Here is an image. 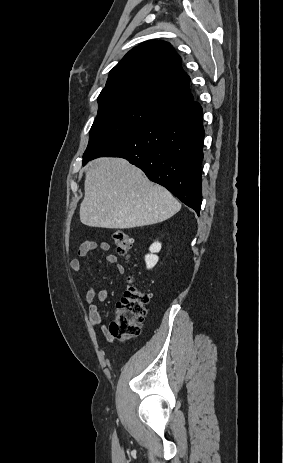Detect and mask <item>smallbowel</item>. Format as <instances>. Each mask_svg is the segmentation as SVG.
Segmentation results:
<instances>
[{
  "label": "small bowel",
  "mask_w": 283,
  "mask_h": 463,
  "mask_svg": "<svg viewBox=\"0 0 283 463\" xmlns=\"http://www.w3.org/2000/svg\"><path fill=\"white\" fill-rule=\"evenodd\" d=\"M110 244L106 241L96 242L93 240L85 241L78 249L77 256L71 261V268L79 272L82 268L83 261L88 256L91 251L100 249L104 252L110 251ZM106 261L114 265L118 274L124 273V267L122 264L118 263V258L113 253H108L106 256ZM87 290L85 294L86 301L89 305V321L93 327L97 325H102L103 333L107 341L112 342L114 337L111 335L107 326L104 325L102 315L98 308V302H103L108 296V290L106 288L96 291L94 286L91 283H86Z\"/></svg>",
  "instance_id": "1"
}]
</instances>
